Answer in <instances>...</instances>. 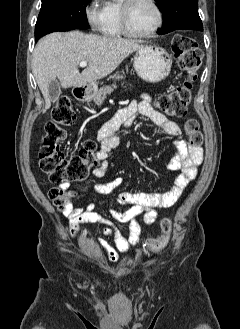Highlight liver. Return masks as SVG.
I'll use <instances>...</instances> for the list:
<instances>
[{"label": "liver", "mask_w": 240, "mask_h": 329, "mask_svg": "<svg viewBox=\"0 0 240 329\" xmlns=\"http://www.w3.org/2000/svg\"><path fill=\"white\" fill-rule=\"evenodd\" d=\"M142 45L137 40L84 34L80 31L55 32L37 43L32 60L36 82L45 99V111L50 108L49 83L59 79L63 88L93 83L112 73ZM89 66L82 73L80 62Z\"/></svg>", "instance_id": "liver-1"}]
</instances>
